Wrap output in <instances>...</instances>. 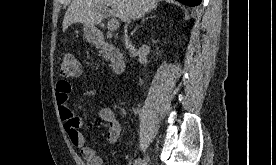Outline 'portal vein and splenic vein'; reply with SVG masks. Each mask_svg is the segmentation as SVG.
<instances>
[{"label":"portal vein and splenic vein","mask_w":276,"mask_h":165,"mask_svg":"<svg viewBox=\"0 0 276 165\" xmlns=\"http://www.w3.org/2000/svg\"><path fill=\"white\" fill-rule=\"evenodd\" d=\"M103 12H108V11L105 9V10H103ZM107 16L109 17L110 14H107ZM118 26H119V22L117 21V19L112 18V19L108 20L107 28L109 30H111V31L116 30L118 28Z\"/></svg>","instance_id":"1"}]
</instances>
